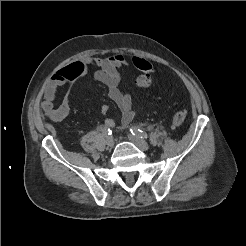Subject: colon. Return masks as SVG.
Returning a JSON list of instances; mask_svg holds the SVG:
<instances>
[{
  "label": "colon",
  "mask_w": 246,
  "mask_h": 246,
  "mask_svg": "<svg viewBox=\"0 0 246 246\" xmlns=\"http://www.w3.org/2000/svg\"><path fill=\"white\" fill-rule=\"evenodd\" d=\"M133 65L142 73L136 79V85L141 89H147L152 83V65L150 62L143 58L133 57ZM186 119V112L179 110L176 111L172 116V124L174 126H180Z\"/></svg>",
  "instance_id": "colon-1"
}]
</instances>
